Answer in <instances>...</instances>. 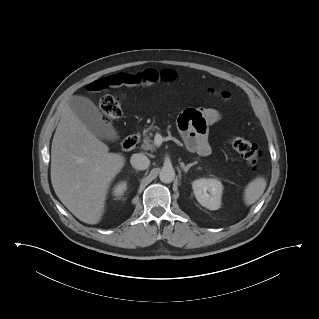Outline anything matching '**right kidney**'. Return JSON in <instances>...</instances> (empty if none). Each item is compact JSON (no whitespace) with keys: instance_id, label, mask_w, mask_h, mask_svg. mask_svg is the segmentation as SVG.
<instances>
[{"instance_id":"1","label":"right kidney","mask_w":319,"mask_h":319,"mask_svg":"<svg viewBox=\"0 0 319 319\" xmlns=\"http://www.w3.org/2000/svg\"><path fill=\"white\" fill-rule=\"evenodd\" d=\"M127 189V183L125 181L118 183L113 189V195L116 198H120Z\"/></svg>"}]
</instances>
